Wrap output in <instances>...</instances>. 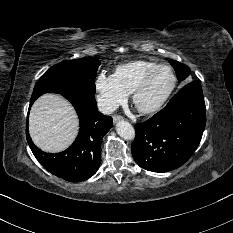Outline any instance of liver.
Masks as SVG:
<instances>
[{"instance_id":"6515ba94","label":"liver","mask_w":233,"mask_h":233,"mask_svg":"<svg viewBox=\"0 0 233 233\" xmlns=\"http://www.w3.org/2000/svg\"><path fill=\"white\" fill-rule=\"evenodd\" d=\"M79 120L71 104L61 95L44 94L33 104L29 116V133L37 147L57 153L76 138Z\"/></svg>"}]
</instances>
